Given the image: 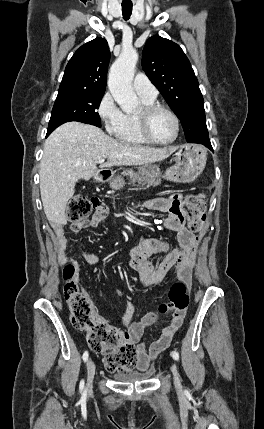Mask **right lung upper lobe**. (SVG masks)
<instances>
[{
  "instance_id": "cb5924a9",
  "label": "right lung upper lobe",
  "mask_w": 264,
  "mask_h": 429,
  "mask_svg": "<svg viewBox=\"0 0 264 429\" xmlns=\"http://www.w3.org/2000/svg\"><path fill=\"white\" fill-rule=\"evenodd\" d=\"M109 60L110 52L105 39L95 38L87 42L69 60L59 92L104 93Z\"/></svg>"
}]
</instances>
